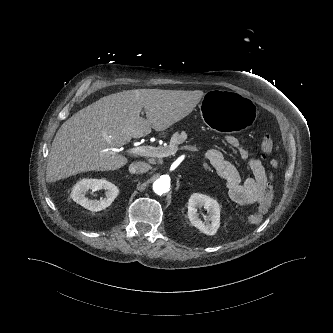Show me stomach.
<instances>
[{
  "instance_id": "stomach-1",
  "label": "stomach",
  "mask_w": 333,
  "mask_h": 333,
  "mask_svg": "<svg viewBox=\"0 0 333 333\" xmlns=\"http://www.w3.org/2000/svg\"><path fill=\"white\" fill-rule=\"evenodd\" d=\"M199 115L201 120L214 131L241 135L256 125L258 109L247 96L213 90L201 99Z\"/></svg>"
}]
</instances>
